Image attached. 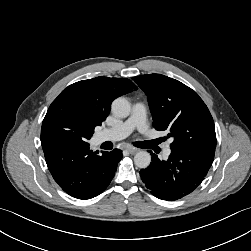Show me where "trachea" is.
Listing matches in <instances>:
<instances>
[{
  "label": "trachea",
  "instance_id": "3493384b",
  "mask_svg": "<svg viewBox=\"0 0 251 251\" xmlns=\"http://www.w3.org/2000/svg\"><path fill=\"white\" fill-rule=\"evenodd\" d=\"M143 143L145 142H135L134 145L137 146V147H140L143 145ZM147 143V142H146Z\"/></svg>",
  "mask_w": 251,
  "mask_h": 251
}]
</instances>
